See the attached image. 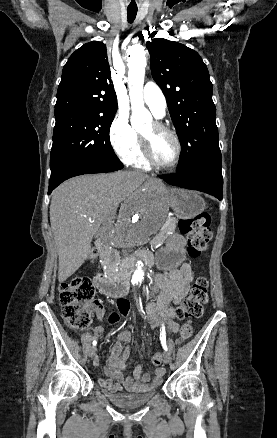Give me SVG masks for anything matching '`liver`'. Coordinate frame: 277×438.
Masks as SVG:
<instances>
[{
    "instance_id": "6515ba94",
    "label": "liver",
    "mask_w": 277,
    "mask_h": 438,
    "mask_svg": "<svg viewBox=\"0 0 277 438\" xmlns=\"http://www.w3.org/2000/svg\"><path fill=\"white\" fill-rule=\"evenodd\" d=\"M145 178L148 176L142 172L86 174L71 178L54 190L50 224L59 256L61 284L87 260L93 236L101 224H114L119 204L129 205L130 188H139ZM121 212L122 206L119 218Z\"/></svg>"
}]
</instances>
